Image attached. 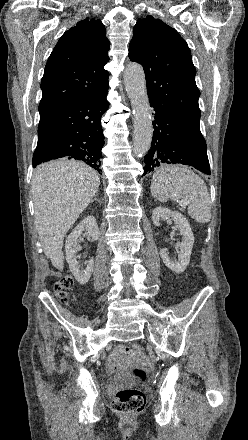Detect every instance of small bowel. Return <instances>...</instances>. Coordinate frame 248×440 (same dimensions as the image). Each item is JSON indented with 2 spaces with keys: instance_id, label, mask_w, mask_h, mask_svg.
<instances>
[{
  "instance_id": "small-bowel-1",
  "label": "small bowel",
  "mask_w": 248,
  "mask_h": 440,
  "mask_svg": "<svg viewBox=\"0 0 248 440\" xmlns=\"http://www.w3.org/2000/svg\"><path fill=\"white\" fill-rule=\"evenodd\" d=\"M124 353L125 348L123 345H118L117 347H115L109 356V365L114 366L115 364H117Z\"/></svg>"
}]
</instances>
